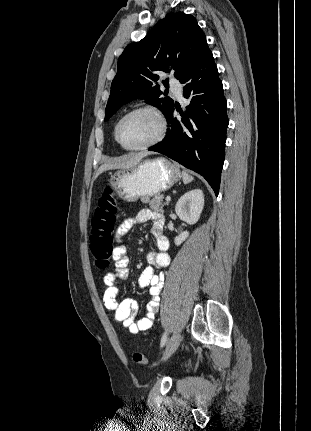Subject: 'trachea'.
Wrapping results in <instances>:
<instances>
[{
    "label": "trachea",
    "instance_id": "obj_1",
    "mask_svg": "<svg viewBox=\"0 0 311 431\" xmlns=\"http://www.w3.org/2000/svg\"><path fill=\"white\" fill-rule=\"evenodd\" d=\"M166 91H168V87H166Z\"/></svg>",
    "mask_w": 311,
    "mask_h": 431
}]
</instances>
